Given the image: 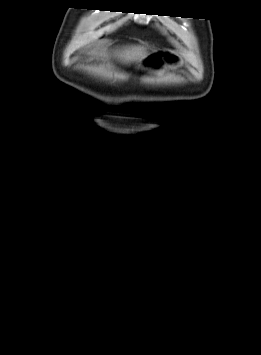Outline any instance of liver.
<instances>
[{
  "label": "liver",
  "instance_id": "obj_1",
  "mask_svg": "<svg viewBox=\"0 0 261 355\" xmlns=\"http://www.w3.org/2000/svg\"><path fill=\"white\" fill-rule=\"evenodd\" d=\"M115 57L125 63L138 62L148 55L147 48L144 46H128L121 50L114 51Z\"/></svg>",
  "mask_w": 261,
  "mask_h": 355
}]
</instances>
